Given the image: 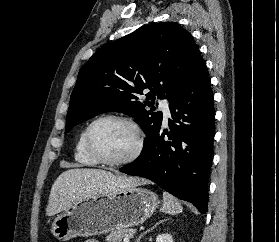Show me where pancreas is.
I'll use <instances>...</instances> for the list:
<instances>
[{
  "label": "pancreas",
  "instance_id": "obj_1",
  "mask_svg": "<svg viewBox=\"0 0 279 242\" xmlns=\"http://www.w3.org/2000/svg\"><path fill=\"white\" fill-rule=\"evenodd\" d=\"M135 233L134 229H116L112 230L109 235L106 236L107 242H122L124 238H131Z\"/></svg>",
  "mask_w": 279,
  "mask_h": 242
}]
</instances>
